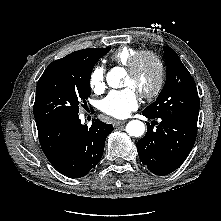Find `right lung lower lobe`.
<instances>
[{
    "mask_svg": "<svg viewBox=\"0 0 221 221\" xmlns=\"http://www.w3.org/2000/svg\"><path fill=\"white\" fill-rule=\"evenodd\" d=\"M37 129L49 162L62 174L80 178L100 161L113 126L94 119L88 128L74 117L40 123Z\"/></svg>",
    "mask_w": 221,
    "mask_h": 221,
    "instance_id": "right-lung-lower-lobe-1",
    "label": "right lung lower lobe"
}]
</instances>
